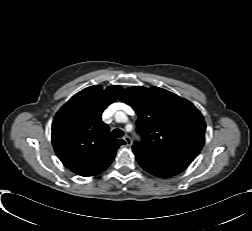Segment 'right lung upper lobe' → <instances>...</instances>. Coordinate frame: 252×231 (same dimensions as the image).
Returning <instances> with one entry per match:
<instances>
[{
  "label": "right lung upper lobe",
  "mask_w": 252,
  "mask_h": 231,
  "mask_svg": "<svg viewBox=\"0 0 252 231\" xmlns=\"http://www.w3.org/2000/svg\"><path fill=\"white\" fill-rule=\"evenodd\" d=\"M122 91L120 86L107 89L90 86L75 94L57 112L52 124L54 150L64 166L88 177L99 174L112 163L122 139L110 136L101 114Z\"/></svg>",
  "instance_id": "right-lung-upper-lobe-1"
}]
</instances>
